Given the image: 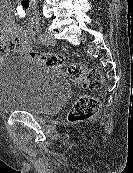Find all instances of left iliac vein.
<instances>
[{
    "mask_svg": "<svg viewBox=\"0 0 133 173\" xmlns=\"http://www.w3.org/2000/svg\"><path fill=\"white\" fill-rule=\"evenodd\" d=\"M43 35H44V38H45V43L47 45H54L55 44L56 41H55L52 33L48 29L45 30Z\"/></svg>",
    "mask_w": 133,
    "mask_h": 173,
    "instance_id": "obj_1",
    "label": "left iliac vein"
}]
</instances>
